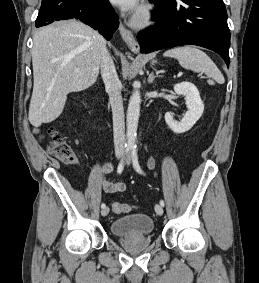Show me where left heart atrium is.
<instances>
[{
    "label": "left heart atrium",
    "mask_w": 259,
    "mask_h": 283,
    "mask_svg": "<svg viewBox=\"0 0 259 283\" xmlns=\"http://www.w3.org/2000/svg\"><path fill=\"white\" fill-rule=\"evenodd\" d=\"M124 11L134 12L139 7V0H110Z\"/></svg>",
    "instance_id": "39dd6f15"
}]
</instances>
